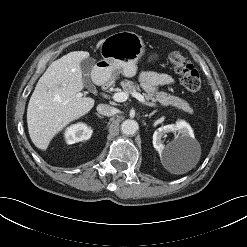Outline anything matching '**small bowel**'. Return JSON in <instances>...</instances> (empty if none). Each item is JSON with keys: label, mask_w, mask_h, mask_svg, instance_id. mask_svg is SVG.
<instances>
[{"label": "small bowel", "mask_w": 247, "mask_h": 247, "mask_svg": "<svg viewBox=\"0 0 247 247\" xmlns=\"http://www.w3.org/2000/svg\"><path fill=\"white\" fill-rule=\"evenodd\" d=\"M140 81L147 92H154L158 86L173 83V78L166 73L145 71L141 73Z\"/></svg>", "instance_id": "obj_1"}]
</instances>
